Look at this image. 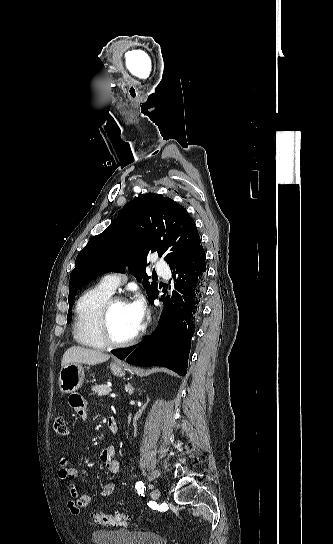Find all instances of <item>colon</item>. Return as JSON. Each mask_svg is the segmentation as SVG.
<instances>
[{
    "label": "colon",
    "instance_id": "obj_1",
    "mask_svg": "<svg viewBox=\"0 0 333 544\" xmlns=\"http://www.w3.org/2000/svg\"><path fill=\"white\" fill-rule=\"evenodd\" d=\"M53 429L56 434L61 436H66L69 434V428L66 420L62 416H58L54 419ZM94 521L96 524L102 526L125 525L129 522V517L120 512H115L112 514L99 512L94 514Z\"/></svg>",
    "mask_w": 333,
    "mask_h": 544
}]
</instances>
